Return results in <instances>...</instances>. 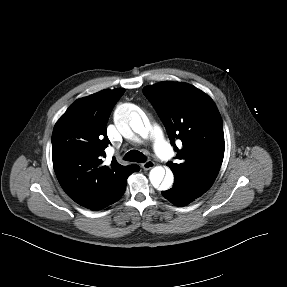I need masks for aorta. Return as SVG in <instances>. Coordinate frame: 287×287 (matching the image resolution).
I'll return each instance as SVG.
<instances>
[{
  "label": "aorta",
  "mask_w": 287,
  "mask_h": 287,
  "mask_svg": "<svg viewBox=\"0 0 287 287\" xmlns=\"http://www.w3.org/2000/svg\"><path fill=\"white\" fill-rule=\"evenodd\" d=\"M114 120L120 130H125L130 127L143 138L147 136L150 128L148 119H145L143 123L141 116L137 112L131 111L127 106H121L116 110ZM149 179L155 188L168 190L173 184L174 176L170 170H167L165 174V169L162 166H156L151 169Z\"/></svg>",
  "instance_id": "1"
}]
</instances>
